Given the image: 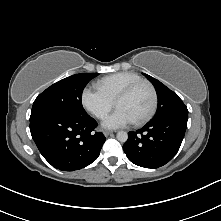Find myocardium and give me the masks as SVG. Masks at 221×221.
<instances>
[{
    "label": "myocardium",
    "instance_id": "1",
    "mask_svg": "<svg viewBox=\"0 0 221 221\" xmlns=\"http://www.w3.org/2000/svg\"><path fill=\"white\" fill-rule=\"evenodd\" d=\"M142 85H148L149 86V88L151 89V92H152L153 101H152V106H151L149 112L144 117H142L141 119L133 121V123L135 125H143L146 122H148L154 116V114L157 110V106H158V94H157V90H156L155 86L148 80H145V79L139 80L137 82H134V83L130 84L128 87H126L118 95V97L115 100V105L117 106L120 101H122L125 98H127L128 96H130L138 87H140Z\"/></svg>",
    "mask_w": 221,
    "mask_h": 221
}]
</instances>
